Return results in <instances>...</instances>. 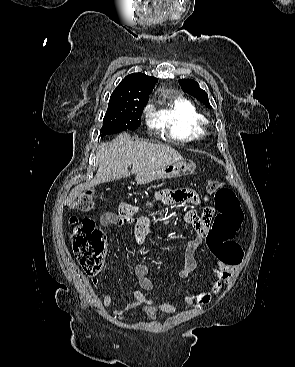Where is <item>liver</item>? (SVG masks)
I'll use <instances>...</instances> for the list:
<instances>
[{
	"label": "liver",
	"mask_w": 295,
	"mask_h": 367,
	"mask_svg": "<svg viewBox=\"0 0 295 367\" xmlns=\"http://www.w3.org/2000/svg\"><path fill=\"white\" fill-rule=\"evenodd\" d=\"M96 156L99 167L94 180L76 186L66 204H73L84 189L130 176L128 167L131 165V173L139 176L183 160L181 154L168 145L134 141L127 133L118 135L112 142L100 144Z\"/></svg>",
	"instance_id": "obj_1"
}]
</instances>
